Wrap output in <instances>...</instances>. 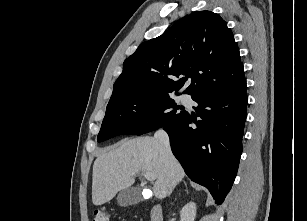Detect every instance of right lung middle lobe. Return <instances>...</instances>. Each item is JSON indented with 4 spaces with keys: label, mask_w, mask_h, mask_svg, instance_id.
I'll list each match as a JSON object with an SVG mask.
<instances>
[{
    "label": "right lung middle lobe",
    "mask_w": 307,
    "mask_h": 221,
    "mask_svg": "<svg viewBox=\"0 0 307 221\" xmlns=\"http://www.w3.org/2000/svg\"><path fill=\"white\" fill-rule=\"evenodd\" d=\"M181 109L170 94L147 93L122 98L107 105L97 141L134 134L142 135L165 127L182 118L186 111Z\"/></svg>",
    "instance_id": "1"
}]
</instances>
